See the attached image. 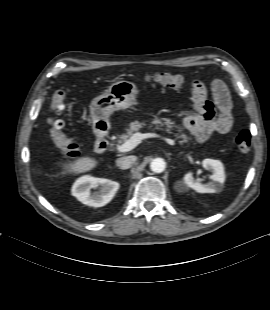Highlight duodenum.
<instances>
[{
	"label": "duodenum",
	"instance_id": "410a0bca",
	"mask_svg": "<svg viewBox=\"0 0 270 310\" xmlns=\"http://www.w3.org/2000/svg\"><path fill=\"white\" fill-rule=\"evenodd\" d=\"M98 136H99V138L96 142L95 150L98 153H103L109 147V141L107 140V138L105 136V129H103V131H99Z\"/></svg>",
	"mask_w": 270,
	"mask_h": 310
}]
</instances>
